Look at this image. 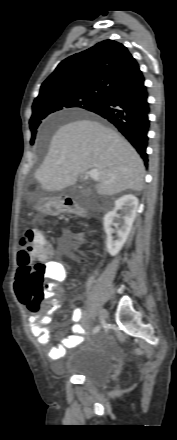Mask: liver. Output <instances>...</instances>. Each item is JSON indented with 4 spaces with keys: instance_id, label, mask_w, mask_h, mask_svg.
Masks as SVG:
<instances>
[{
    "instance_id": "1",
    "label": "liver",
    "mask_w": 177,
    "mask_h": 440,
    "mask_svg": "<svg viewBox=\"0 0 177 440\" xmlns=\"http://www.w3.org/2000/svg\"><path fill=\"white\" fill-rule=\"evenodd\" d=\"M92 169L99 173V195L142 190L145 169L138 153L119 133L92 120L73 121L56 131L35 178L43 190L61 191Z\"/></svg>"
}]
</instances>
